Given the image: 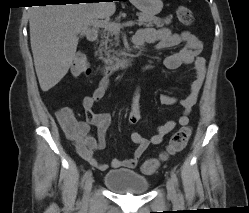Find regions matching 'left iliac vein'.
<instances>
[{
  "label": "left iliac vein",
  "instance_id": "1",
  "mask_svg": "<svg viewBox=\"0 0 249 213\" xmlns=\"http://www.w3.org/2000/svg\"><path fill=\"white\" fill-rule=\"evenodd\" d=\"M166 188H167V193L169 197H174L175 196V188H174V183L171 178H168L166 181Z\"/></svg>",
  "mask_w": 249,
  "mask_h": 213
}]
</instances>
